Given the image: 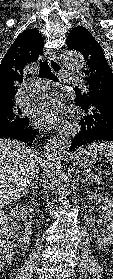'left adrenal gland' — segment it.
Listing matches in <instances>:
<instances>
[{
  "label": "left adrenal gland",
  "instance_id": "obj_1",
  "mask_svg": "<svg viewBox=\"0 0 113 279\" xmlns=\"http://www.w3.org/2000/svg\"><path fill=\"white\" fill-rule=\"evenodd\" d=\"M79 181H81V182H86L87 179L82 178V176L80 175V173L77 172V179H76L77 185H79Z\"/></svg>",
  "mask_w": 113,
  "mask_h": 279
}]
</instances>
